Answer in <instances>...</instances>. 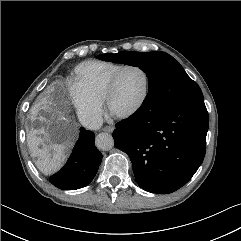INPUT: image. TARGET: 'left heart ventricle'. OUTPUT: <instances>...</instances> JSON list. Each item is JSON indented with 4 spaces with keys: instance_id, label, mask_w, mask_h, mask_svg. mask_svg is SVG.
Segmentation results:
<instances>
[{
    "instance_id": "1",
    "label": "left heart ventricle",
    "mask_w": 241,
    "mask_h": 241,
    "mask_svg": "<svg viewBox=\"0 0 241 241\" xmlns=\"http://www.w3.org/2000/svg\"><path fill=\"white\" fill-rule=\"evenodd\" d=\"M145 85L144 74L136 68H129L119 76L111 107L115 113H122L134 107L142 96Z\"/></svg>"
}]
</instances>
